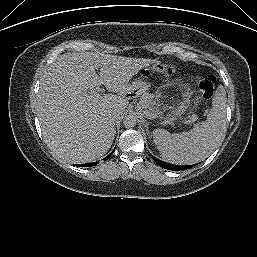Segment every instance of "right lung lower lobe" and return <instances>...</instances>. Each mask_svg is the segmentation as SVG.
I'll return each mask as SVG.
<instances>
[{
	"mask_svg": "<svg viewBox=\"0 0 257 257\" xmlns=\"http://www.w3.org/2000/svg\"><path fill=\"white\" fill-rule=\"evenodd\" d=\"M115 151V149L107 156L104 158V160H107ZM98 162H93V163H87V164H77L76 166H80V167H91V166H95Z\"/></svg>",
	"mask_w": 257,
	"mask_h": 257,
	"instance_id": "98d812e1",
	"label": "right lung lower lobe"
}]
</instances>
